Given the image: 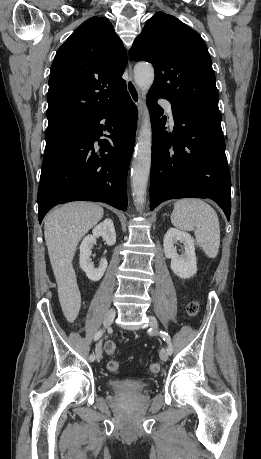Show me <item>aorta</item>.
Listing matches in <instances>:
<instances>
[{
    "mask_svg": "<svg viewBox=\"0 0 261 459\" xmlns=\"http://www.w3.org/2000/svg\"><path fill=\"white\" fill-rule=\"evenodd\" d=\"M154 68L148 63H137L134 67V81L145 96L154 81ZM152 127L146 104L142 113V125L135 147L131 168V189L135 201L142 205L146 199L148 178L151 167Z\"/></svg>",
    "mask_w": 261,
    "mask_h": 459,
    "instance_id": "762f6f07",
    "label": "aorta"
}]
</instances>
